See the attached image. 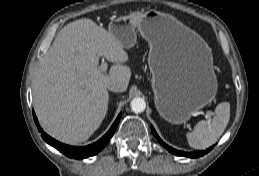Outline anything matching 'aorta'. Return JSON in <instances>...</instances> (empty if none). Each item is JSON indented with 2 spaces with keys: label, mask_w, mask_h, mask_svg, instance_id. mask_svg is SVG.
Wrapping results in <instances>:
<instances>
[{
  "label": "aorta",
  "mask_w": 259,
  "mask_h": 176,
  "mask_svg": "<svg viewBox=\"0 0 259 176\" xmlns=\"http://www.w3.org/2000/svg\"><path fill=\"white\" fill-rule=\"evenodd\" d=\"M130 107L134 113H141L146 108V102L143 98L135 97L132 99Z\"/></svg>",
  "instance_id": "aorta-1"
}]
</instances>
